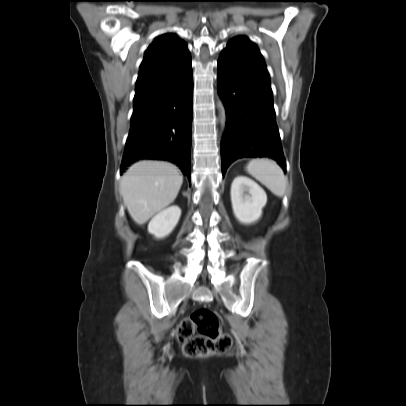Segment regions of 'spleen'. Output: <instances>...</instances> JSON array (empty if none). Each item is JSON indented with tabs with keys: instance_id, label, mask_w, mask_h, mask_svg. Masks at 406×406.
Listing matches in <instances>:
<instances>
[{
	"instance_id": "3e777b00",
	"label": "spleen",
	"mask_w": 406,
	"mask_h": 406,
	"mask_svg": "<svg viewBox=\"0 0 406 406\" xmlns=\"http://www.w3.org/2000/svg\"><path fill=\"white\" fill-rule=\"evenodd\" d=\"M246 171L276 196L284 195L287 178L276 162L270 159H253L247 164Z\"/></svg>"
}]
</instances>
